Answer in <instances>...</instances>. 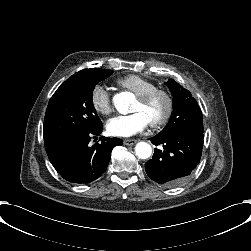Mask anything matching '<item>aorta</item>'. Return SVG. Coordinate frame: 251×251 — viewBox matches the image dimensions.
Here are the masks:
<instances>
[{
  "mask_svg": "<svg viewBox=\"0 0 251 251\" xmlns=\"http://www.w3.org/2000/svg\"><path fill=\"white\" fill-rule=\"evenodd\" d=\"M134 101V97L129 92H121L113 97V103L117 111L121 114H127L130 103ZM152 154L150 144L146 142H138L135 146V155L140 159H147Z\"/></svg>",
  "mask_w": 251,
  "mask_h": 251,
  "instance_id": "obj_1",
  "label": "aorta"
}]
</instances>
